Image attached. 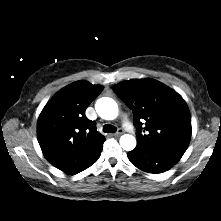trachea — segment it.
I'll use <instances>...</instances> for the list:
<instances>
[{
    "instance_id": "3493384b",
    "label": "trachea",
    "mask_w": 221,
    "mask_h": 221,
    "mask_svg": "<svg viewBox=\"0 0 221 221\" xmlns=\"http://www.w3.org/2000/svg\"><path fill=\"white\" fill-rule=\"evenodd\" d=\"M103 131L105 133H115L117 131V128L115 126H113V125L106 124L103 127Z\"/></svg>"
}]
</instances>
